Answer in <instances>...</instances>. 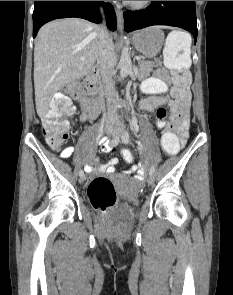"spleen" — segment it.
Returning a JSON list of instances; mask_svg holds the SVG:
<instances>
[{
  "mask_svg": "<svg viewBox=\"0 0 233 295\" xmlns=\"http://www.w3.org/2000/svg\"><path fill=\"white\" fill-rule=\"evenodd\" d=\"M182 52V54H179ZM164 63L180 70L191 65V37L181 31L168 34L163 51Z\"/></svg>",
  "mask_w": 233,
  "mask_h": 295,
  "instance_id": "spleen-1",
  "label": "spleen"
}]
</instances>
